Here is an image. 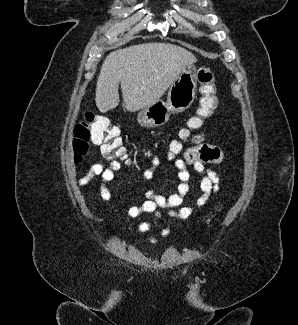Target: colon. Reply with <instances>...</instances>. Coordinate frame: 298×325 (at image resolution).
Returning <instances> with one entry per match:
<instances>
[{"label": "colon", "mask_w": 298, "mask_h": 325, "mask_svg": "<svg viewBox=\"0 0 298 325\" xmlns=\"http://www.w3.org/2000/svg\"><path fill=\"white\" fill-rule=\"evenodd\" d=\"M197 79L199 82V105L194 116L187 123V128L179 132L180 140L187 139L192 130L200 129L210 119L217 106L215 77L209 66H202L198 69ZM180 140L170 143L169 157L173 158L181 152ZM101 146L102 153L116 160L127 158L126 149L122 144L120 130L104 116L87 113L83 121L77 123L73 130V154L74 161L80 162L88 150L89 143Z\"/></svg>", "instance_id": "obj_1"}]
</instances>
